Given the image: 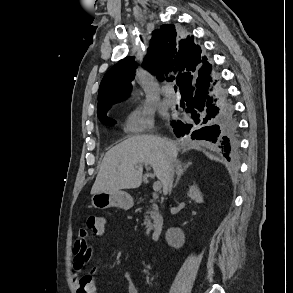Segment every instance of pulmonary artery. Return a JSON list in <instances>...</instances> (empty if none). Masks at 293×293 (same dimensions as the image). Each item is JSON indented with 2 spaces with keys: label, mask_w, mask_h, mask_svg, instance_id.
<instances>
[{
  "label": "pulmonary artery",
  "mask_w": 293,
  "mask_h": 293,
  "mask_svg": "<svg viewBox=\"0 0 293 293\" xmlns=\"http://www.w3.org/2000/svg\"><path fill=\"white\" fill-rule=\"evenodd\" d=\"M164 95H165V102L174 105L177 103V97L175 96L173 89L170 86L165 87Z\"/></svg>",
  "instance_id": "1"
}]
</instances>
